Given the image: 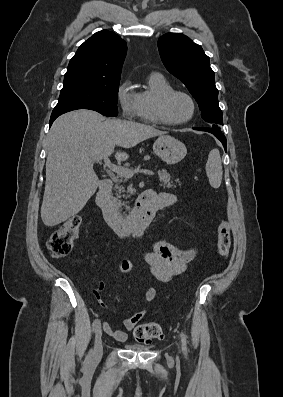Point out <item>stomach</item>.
Here are the masks:
<instances>
[{
	"instance_id": "1",
	"label": "stomach",
	"mask_w": 283,
	"mask_h": 397,
	"mask_svg": "<svg viewBox=\"0 0 283 397\" xmlns=\"http://www.w3.org/2000/svg\"><path fill=\"white\" fill-rule=\"evenodd\" d=\"M153 151L168 165L180 162L187 154L186 146L169 135L160 136L153 145Z\"/></svg>"
}]
</instances>
